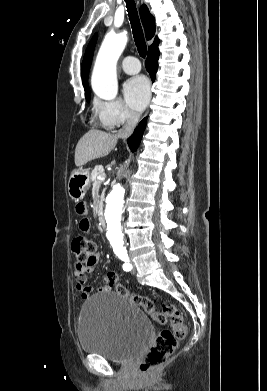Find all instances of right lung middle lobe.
<instances>
[{
  "instance_id": "dd1d6c3e",
  "label": "right lung middle lobe",
  "mask_w": 267,
  "mask_h": 391,
  "mask_svg": "<svg viewBox=\"0 0 267 391\" xmlns=\"http://www.w3.org/2000/svg\"><path fill=\"white\" fill-rule=\"evenodd\" d=\"M86 100L89 102L90 100V92H85Z\"/></svg>"
}]
</instances>
